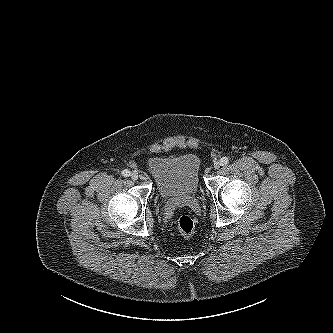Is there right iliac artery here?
Wrapping results in <instances>:
<instances>
[{
    "label": "right iliac artery",
    "instance_id": "right-iliac-artery-1",
    "mask_svg": "<svg viewBox=\"0 0 333 333\" xmlns=\"http://www.w3.org/2000/svg\"><path fill=\"white\" fill-rule=\"evenodd\" d=\"M121 174H122L124 177H128V176H130V171H129L128 169H125V170L122 171Z\"/></svg>",
    "mask_w": 333,
    "mask_h": 333
}]
</instances>
